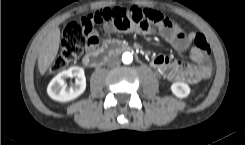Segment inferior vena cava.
Instances as JSON below:
<instances>
[{"instance_id": "602c4592", "label": "inferior vena cava", "mask_w": 245, "mask_h": 145, "mask_svg": "<svg viewBox=\"0 0 245 145\" xmlns=\"http://www.w3.org/2000/svg\"><path fill=\"white\" fill-rule=\"evenodd\" d=\"M120 64V60L118 57H112L109 59L108 61V65L110 67H113V66H118Z\"/></svg>"}]
</instances>
